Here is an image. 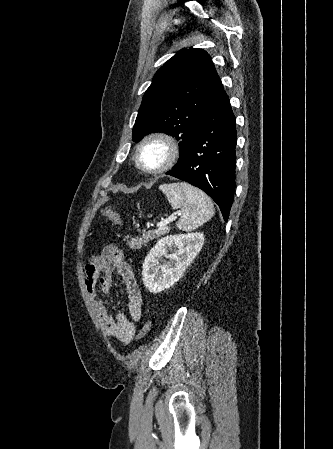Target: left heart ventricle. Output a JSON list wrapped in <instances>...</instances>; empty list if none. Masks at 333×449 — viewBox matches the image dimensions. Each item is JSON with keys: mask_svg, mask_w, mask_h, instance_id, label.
Listing matches in <instances>:
<instances>
[{"mask_svg": "<svg viewBox=\"0 0 333 449\" xmlns=\"http://www.w3.org/2000/svg\"><path fill=\"white\" fill-rule=\"evenodd\" d=\"M166 157L165 148L159 143H152L144 147L141 153L143 164L149 168H156L163 163Z\"/></svg>", "mask_w": 333, "mask_h": 449, "instance_id": "b2bd125f", "label": "left heart ventricle"}]
</instances>
